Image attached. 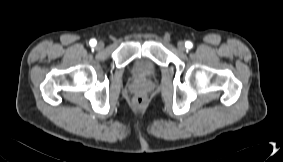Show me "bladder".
<instances>
[{
	"mask_svg": "<svg viewBox=\"0 0 283 162\" xmlns=\"http://www.w3.org/2000/svg\"><path fill=\"white\" fill-rule=\"evenodd\" d=\"M130 72L137 78L146 79L156 74L157 66L150 58L142 56L132 62Z\"/></svg>",
	"mask_w": 283,
	"mask_h": 162,
	"instance_id": "31cf9c89",
	"label": "bladder"
}]
</instances>
